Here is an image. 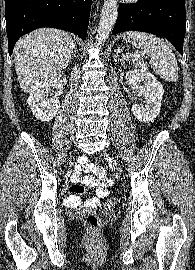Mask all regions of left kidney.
<instances>
[{
	"label": "left kidney",
	"instance_id": "5707ae66",
	"mask_svg": "<svg viewBox=\"0 0 195 270\" xmlns=\"http://www.w3.org/2000/svg\"><path fill=\"white\" fill-rule=\"evenodd\" d=\"M138 94L144 98V106L138 103L132 105L133 115L142 122L154 120L160 113L161 101L164 93L163 85L146 69L130 70L125 75ZM140 83H144L140 86Z\"/></svg>",
	"mask_w": 195,
	"mask_h": 270
}]
</instances>
